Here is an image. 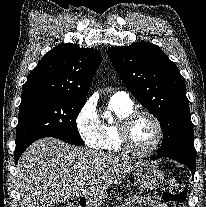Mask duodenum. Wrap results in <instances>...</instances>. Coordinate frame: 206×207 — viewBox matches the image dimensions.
Instances as JSON below:
<instances>
[{"label": "duodenum", "instance_id": "duodenum-1", "mask_svg": "<svg viewBox=\"0 0 206 207\" xmlns=\"http://www.w3.org/2000/svg\"><path fill=\"white\" fill-rule=\"evenodd\" d=\"M77 207H83V206H82V204L79 203Z\"/></svg>", "mask_w": 206, "mask_h": 207}]
</instances>
